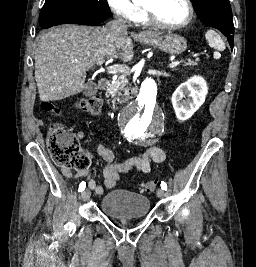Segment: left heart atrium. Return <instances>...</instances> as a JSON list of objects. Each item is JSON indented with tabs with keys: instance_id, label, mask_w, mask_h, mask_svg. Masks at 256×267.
I'll use <instances>...</instances> for the list:
<instances>
[{
	"instance_id": "39dd6f15",
	"label": "left heart atrium",
	"mask_w": 256,
	"mask_h": 267,
	"mask_svg": "<svg viewBox=\"0 0 256 267\" xmlns=\"http://www.w3.org/2000/svg\"><path fill=\"white\" fill-rule=\"evenodd\" d=\"M152 1H153V4H159L163 2L164 0H152ZM153 26L157 27L154 23H153Z\"/></svg>"
}]
</instances>
